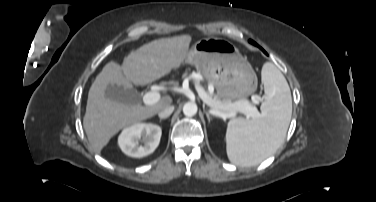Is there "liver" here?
Listing matches in <instances>:
<instances>
[{
  "label": "liver",
  "instance_id": "6515ba94",
  "mask_svg": "<svg viewBox=\"0 0 376 202\" xmlns=\"http://www.w3.org/2000/svg\"><path fill=\"white\" fill-rule=\"evenodd\" d=\"M191 39L190 35H181L154 40L126 56L123 66L111 61L103 67L89 89L83 120L96 153H100L122 128L150 118L172 103L168 95L146 106L119 103L105 97L106 87L133 88V85H146L168 75L185 60Z\"/></svg>",
  "mask_w": 376,
  "mask_h": 202
}]
</instances>
